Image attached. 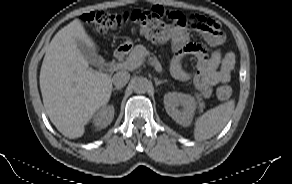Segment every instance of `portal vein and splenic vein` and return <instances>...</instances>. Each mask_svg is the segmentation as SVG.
Here are the masks:
<instances>
[{
    "label": "portal vein and splenic vein",
    "mask_w": 292,
    "mask_h": 184,
    "mask_svg": "<svg viewBox=\"0 0 292 184\" xmlns=\"http://www.w3.org/2000/svg\"><path fill=\"white\" fill-rule=\"evenodd\" d=\"M151 64L155 67V69L162 73L163 69L162 66L160 64V62L156 59V58H150ZM142 64V62H133L131 60H127L123 63H116V64H111L109 67L111 69H117V68H137Z\"/></svg>",
    "instance_id": "portal-vein-and-splenic-vein-1"
}]
</instances>
